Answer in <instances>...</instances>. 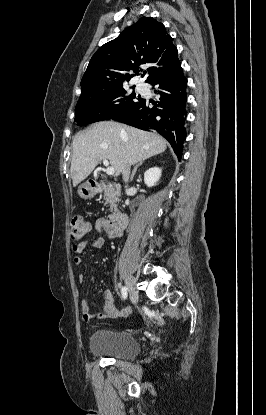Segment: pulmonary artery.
<instances>
[{
	"label": "pulmonary artery",
	"mask_w": 266,
	"mask_h": 415,
	"mask_svg": "<svg viewBox=\"0 0 266 415\" xmlns=\"http://www.w3.org/2000/svg\"><path fill=\"white\" fill-rule=\"evenodd\" d=\"M140 90H144L145 89V87L143 86V85H139V87H138Z\"/></svg>",
	"instance_id": "1"
}]
</instances>
